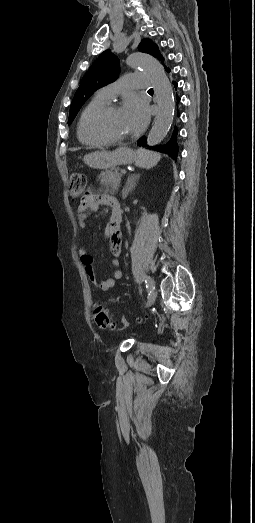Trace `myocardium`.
<instances>
[{
  "mask_svg": "<svg viewBox=\"0 0 255 523\" xmlns=\"http://www.w3.org/2000/svg\"><path fill=\"white\" fill-rule=\"evenodd\" d=\"M124 108L123 103H113V102H107L104 104H101L95 108H93L86 116L84 120V129L88 136H90L93 139L102 141L104 143H118V142H127L131 141L135 138V136L132 137H118V136H109L106 134L99 133L93 128V120L110 111V110H118Z\"/></svg>",
  "mask_w": 255,
  "mask_h": 523,
  "instance_id": "obj_1",
  "label": "myocardium"
}]
</instances>
